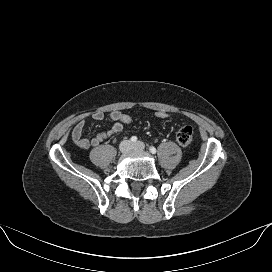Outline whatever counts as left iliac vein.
<instances>
[{
	"label": "left iliac vein",
	"instance_id": "4c4485c4",
	"mask_svg": "<svg viewBox=\"0 0 272 272\" xmlns=\"http://www.w3.org/2000/svg\"><path fill=\"white\" fill-rule=\"evenodd\" d=\"M133 149L135 150H143L145 148V145L143 142L138 141L132 145Z\"/></svg>",
	"mask_w": 272,
	"mask_h": 272
}]
</instances>
